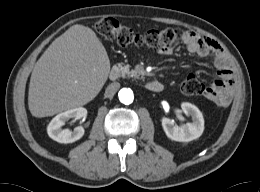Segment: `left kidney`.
Returning a JSON list of instances; mask_svg holds the SVG:
<instances>
[{"label":"left kidney","instance_id":"5707ae66","mask_svg":"<svg viewBox=\"0 0 260 192\" xmlns=\"http://www.w3.org/2000/svg\"><path fill=\"white\" fill-rule=\"evenodd\" d=\"M182 111L191 116L192 122L177 126L170 118H162V127L168 138L178 142H189L199 138L204 131V119L200 110L193 104L183 102Z\"/></svg>","mask_w":260,"mask_h":192}]
</instances>
